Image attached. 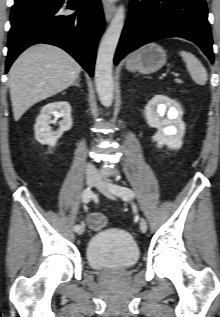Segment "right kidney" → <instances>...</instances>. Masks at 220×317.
I'll use <instances>...</instances> for the list:
<instances>
[{
	"label": "right kidney",
	"mask_w": 220,
	"mask_h": 317,
	"mask_svg": "<svg viewBox=\"0 0 220 317\" xmlns=\"http://www.w3.org/2000/svg\"><path fill=\"white\" fill-rule=\"evenodd\" d=\"M52 116L56 119L63 118L57 131H52L50 127ZM72 124L71 106L68 102L58 101L49 103L42 107L40 115L36 119L34 125L35 138L43 145L54 147L63 132L71 129Z\"/></svg>",
	"instance_id": "ca27d5eb"
}]
</instances>
